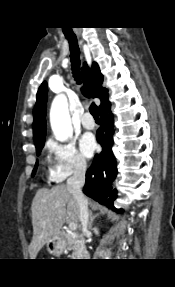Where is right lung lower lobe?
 Instances as JSON below:
<instances>
[{
	"mask_svg": "<svg viewBox=\"0 0 175 287\" xmlns=\"http://www.w3.org/2000/svg\"><path fill=\"white\" fill-rule=\"evenodd\" d=\"M101 130L97 132V141L102 146V152L94 157L91 167L86 173V183L83 192L109 207L111 210L122 213V209H116L113 201L117 196L112 183L117 175L116 161L111 147L113 142V116L110 105L100 111Z\"/></svg>",
	"mask_w": 175,
	"mask_h": 287,
	"instance_id": "obj_1",
	"label": "right lung lower lobe"
}]
</instances>
